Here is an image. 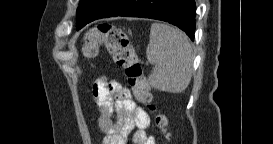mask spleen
<instances>
[{
    "instance_id": "3e777b00",
    "label": "spleen",
    "mask_w": 273,
    "mask_h": 144,
    "mask_svg": "<svg viewBox=\"0 0 273 144\" xmlns=\"http://www.w3.org/2000/svg\"><path fill=\"white\" fill-rule=\"evenodd\" d=\"M146 57L155 66L148 76L153 88L181 93L188 87L192 75V47L182 31L153 23Z\"/></svg>"
}]
</instances>
